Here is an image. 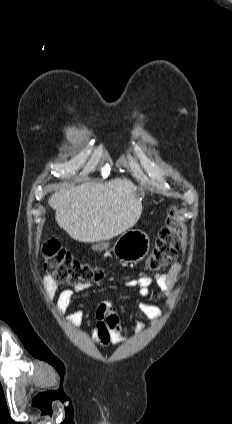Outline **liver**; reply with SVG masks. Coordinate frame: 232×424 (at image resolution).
I'll use <instances>...</instances> for the list:
<instances>
[{
	"label": "liver",
	"instance_id": "1",
	"mask_svg": "<svg viewBox=\"0 0 232 424\" xmlns=\"http://www.w3.org/2000/svg\"><path fill=\"white\" fill-rule=\"evenodd\" d=\"M141 194L133 182L87 181L56 191L48 200L58 225L71 238L87 243L109 240L133 227L142 213Z\"/></svg>",
	"mask_w": 232,
	"mask_h": 424
}]
</instances>
